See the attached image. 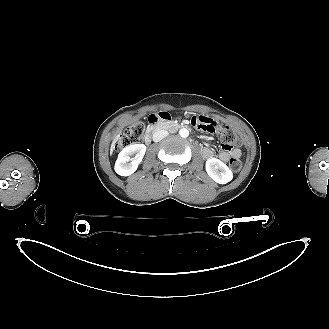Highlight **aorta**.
<instances>
[{
  "label": "aorta",
  "mask_w": 329,
  "mask_h": 329,
  "mask_svg": "<svg viewBox=\"0 0 329 329\" xmlns=\"http://www.w3.org/2000/svg\"><path fill=\"white\" fill-rule=\"evenodd\" d=\"M179 135H180L181 137H183V138L188 137V135H189V131H188V129H186V128H182V129H180V130H179Z\"/></svg>",
  "instance_id": "obj_1"
}]
</instances>
